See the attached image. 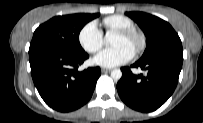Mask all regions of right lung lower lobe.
I'll return each instance as SVG.
<instances>
[{"label":"right lung lower lobe","mask_w":203,"mask_h":123,"mask_svg":"<svg viewBox=\"0 0 203 123\" xmlns=\"http://www.w3.org/2000/svg\"><path fill=\"white\" fill-rule=\"evenodd\" d=\"M89 55L40 45L30 46L29 61L34 85L45 103L60 112L86 104L101 75L99 67L78 71Z\"/></svg>","instance_id":"obj_1"}]
</instances>
